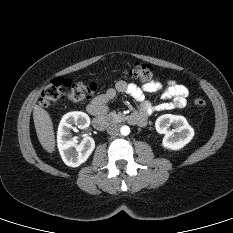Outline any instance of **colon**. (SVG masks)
Returning <instances> with one entry per match:
<instances>
[{
	"instance_id": "obj_1",
	"label": "colon",
	"mask_w": 233,
	"mask_h": 233,
	"mask_svg": "<svg viewBox=\"0 0 233 233\" xmlns=\"http://www.w3.org/2000/svg\"><path fill=\"white\" fill-rule=\"evenodd\" d=\"M124 74L134 80L149 83L155 82L156 74L152 66L143 63H134L124 71ZM97 89L93 82H72L68 79L57 77L52 79L42 90L40 104L48 107L59 100H69L74 102L84 101L92 97ZM198 108H204L205 100L198 98L195 100Z\"/></svg>"
}]
</instances>
